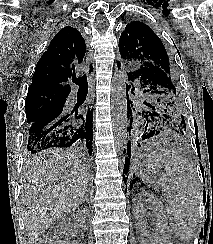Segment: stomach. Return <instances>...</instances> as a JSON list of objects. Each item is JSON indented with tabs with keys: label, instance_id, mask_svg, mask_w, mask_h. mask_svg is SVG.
<instances>
[{
	"label": "stomach",
	"instance_id": "0dacf381",
	"mask_svg": "<svg viewBox=\"0 0 213 244\" xmlns=\"http://www.w3.org/2000/svg\"><path fill=\"white\" fill-rule=\"evenodd\" d=\"M136 174L140 176L142 180H144L148 184H154L158 175V171L151 167L147 160L146 164H137L136 166Z\"/></svg>",
	"mask_w": 213,
	"mask_h": 244
}]
</instances>
